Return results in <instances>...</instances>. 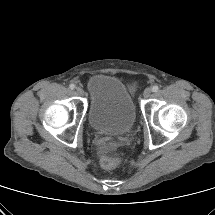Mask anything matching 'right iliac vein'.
Listing matches in <instances>:
<instances>
[{
    "label": "right iliac vein",
    "mask_w": 215,
    "mask_h": 215,
    "mask_svg": "<svg viewBox=\"0 0 215 215\" xmlns=\"http://www.w3.org/2000/svg\"><path fill=\"white\" fill-rule=\"evenodd\" d=\"M76 92L78 95L82 96L84 94V91L81 87H76Z\"/></svg>",
    "instance_id": "63e3f726"
}]
</instances>
